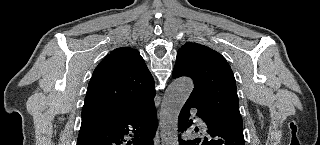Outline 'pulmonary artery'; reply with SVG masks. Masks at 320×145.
Here are the masks:
<instances>
[{
    "mask_svg": "<svg viewBox=\"0 0 320 145\" xmlns=\"http://www.w3.org/2000/svg\"><path fill=\"white\" fill-rule=\"evenodd\" d=\"M197 119V122H198V125L201 127V128H205V122L200 118V117H196Z\"/></svg>",
    "mask_w": 320,
    "mask_h": 145,
    "instance_id": "pulmonary-artery-1",
    "label": "pulmonary artery"
}]
</instances>
